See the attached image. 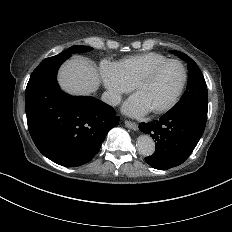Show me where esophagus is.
<instances>
[{"label": "esophagus", "mask_w": 232, "mask_h": 232, "mask_svg": "<svg viewBox=\"0 0 232 232\" xmlns=\"http://www.w3.org/2000/svg\"><path fill=\"white\" fill-rule=\"evenodd\" d=\"M124 124H125V126H126L127 128H129V129H131V130H134V131L138 130V125H137L136 123H134V122L125 121Z\"/></svg>", "instance_id": "1"}]
</instances>
